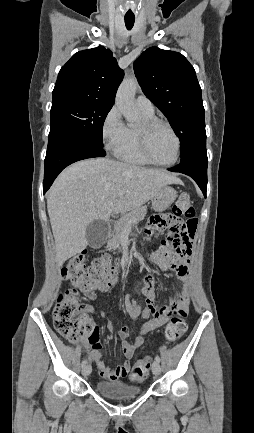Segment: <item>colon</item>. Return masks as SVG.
I'll use <instances>...</instances> for the list:
<instances>
[{
    "mask_svg": "<svg viewBox=\"0 0 254 433\" xmlns=\"http://www.w3.org/2000/svg\"><path fill=\"white\" fill-rule=\"evenodd\" d=\"M182 217L186 219L182 221ZM164 245L158 255L161 257L187 256L191 253V243L198 227L195 209L188 194H182L169 215ZM87 253L82 252L70 258L62 269L63 278L70 288L63 291L53 309V323L56 331L70 342H77L83 334L88 341L93 333V325L84 315L79 291L91 292L108 283L116 276V266L110 256L95 259L87 266ZM187 307L173 306L171 318L165 327V342L178 341L187 329ZM152 360L142 359L136 363L130 374L133 382L144 381L150 372Z\"/></svg>",
    "mask_w": 254,
    "mask_h": 433,
    "instance_id": "obj_1",
    "label": "colon"
}]
</instances>
